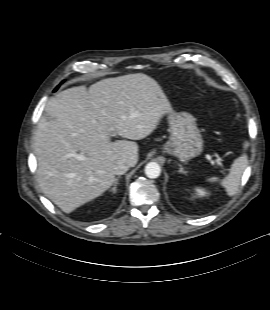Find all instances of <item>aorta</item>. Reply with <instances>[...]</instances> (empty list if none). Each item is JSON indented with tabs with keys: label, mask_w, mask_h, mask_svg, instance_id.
Masks as SVG:
<instances>
[{
	"label": "aorta",
	"mask_w": 270,
	"mask_h": 310,
	"mask_svg": "<svg viewBox=\"0 0 270 310\" xmlns=\"http://www.w3.org/2000/svg\"><path fill=\"white\" fill-rule=\"evenodd\" d=\"M161 168L158 163L150 162L145 166V174L148 178L155 179L160 176Z\"/></svg>",
	"instance_id": "762f6f07"
}]
</instances>
